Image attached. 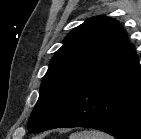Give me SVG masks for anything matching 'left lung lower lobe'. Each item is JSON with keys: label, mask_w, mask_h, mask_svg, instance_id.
Here are the masks:
<instances>
[{"label": "left lung lower lobe", "mask_w": 141, "mask_h": 139, "mask_svg": "<svg viewBox=\"0 0 141 139\" xmlns=\"http://www.w3.org/2000/svg\"><path fill=\"white\" fill-rule=\"evenodd\" d=\"M65 127L141 139V68L133 44L93 72L41 131Z\"/></svg>", "instance_id": "0a47b994"}]
</instances>
